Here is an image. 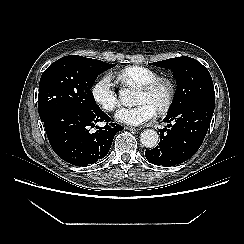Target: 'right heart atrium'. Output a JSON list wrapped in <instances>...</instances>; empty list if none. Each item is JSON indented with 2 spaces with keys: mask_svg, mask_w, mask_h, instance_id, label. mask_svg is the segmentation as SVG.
Returning <instances> with one entry per match:
<instances>
[{
  "mask_svg": "<svg viewBox=\"0 0 244 244\" xmlns=\"http://www.w3.org/2000/svg\"><path fill=\"white\" fill-rule=\"evenodd\" d=\"M93 100L105 111H114L119 106V97L109 76L101 77L92 87Z\"/></svg>",
  "mask_w": 244,
  "mask_h": 244,
  "instance_id": "obj_1",
  "label": "right heart atrium"
}]
</instances>
